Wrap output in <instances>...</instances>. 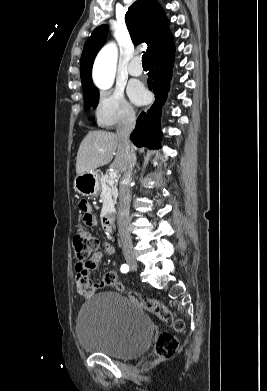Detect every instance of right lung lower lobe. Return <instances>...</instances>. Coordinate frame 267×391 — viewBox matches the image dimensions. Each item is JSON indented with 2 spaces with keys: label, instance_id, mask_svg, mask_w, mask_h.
<instances>
[{
  "label": "right lung lower lobe",
  "instance_id": "right-lung-lower-lobe-1",
  "mask_svg": "<svg viewBox=\"0 0 267 391\" xmlns=\"http://www.w3.org/2000/svg\"><path fill=\"white\" fill-rule=\"evenodd\" d=\"M175 46L174 43L168 48L160 51L149 59L150 72L148 74L149 89L155 94V102L146 112H142L138 119L136 128L130 139L138 147L159 148L161 140L160 116L161 107L167 97V88L171 79L173 68ZM162 88V91L159 90Z\"/></svg>",
  "mask_w": 267,
  "mask_h": 391
}]
</instances>
